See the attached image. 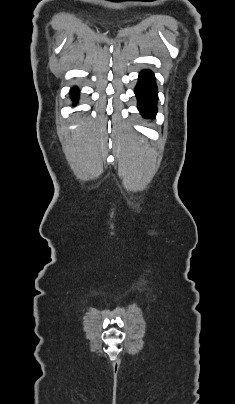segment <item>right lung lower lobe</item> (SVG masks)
I'll use <instances>...</instances> for the list:
<instances>
[{"mask_svg": "<svg viewBox=\"0 0 235 404\" xmlns=\"http://www.w3.org/2000/svg\"><path fill=\"white\" fill-rule=\"evenodd\" d=\"M71 95H72V99H73V100H77V95H78V90H77V88H74V89L72 90Z\"/></svg>", "mask_w": 235, "mask_h": 404, "instance_id": "98d812e1", "label": "right lung lower lobe"}]
</instances>
